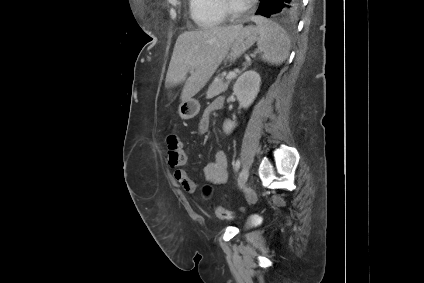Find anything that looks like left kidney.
Instances as JSON below:
<instances>
[{
    "label": "left kidney",
    "instance_id": "obj_1",
    "mask_svg": "<svg viewBox=\"0 0 424 283\" xmlns=\"http://www.w3.org/2000/svg\"><path fill=\"white\" fill-rule=\"evenodd\" d=\"M260 84V75L253 70L244 72L237 79L233 87V93L243 108H248L253 103L259 92ZM235 126L236 124L234 122L226 120L223 125V130L226 134H229Z\"/></svg>",
    "mask_w": 424,
    "mask_h": 283
}]
</instances>
